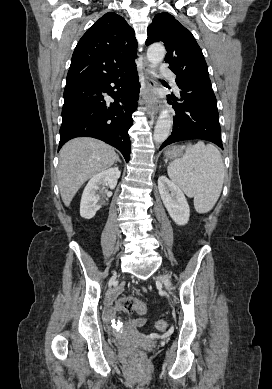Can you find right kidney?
Here are the masks:
<instances>
[{
	"label": "right kidney",
	"mask_w": 272,
	"mask_h": 389,
	"mask_svg": "<svg viewBox=\"0 0 272 389\" xmlns=\"http://www.w3.org/2000/svg\"><path fill=\"white\" fill-rule=\"evenodd\" d=\"M121 175L118 167L107 169L95 176H93L86 185L80 203V215L85 219H91L95 216L96 212L100 209L98 201L100 196L96 194L99 190V186L104 183H108L110 189H114L117 185V181Z\"/></svg>",
	"instance_id": "1"
}]
</instances>
